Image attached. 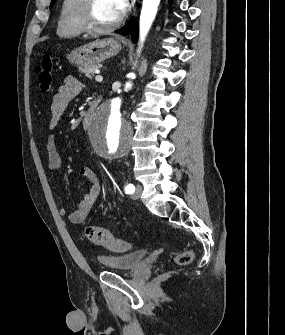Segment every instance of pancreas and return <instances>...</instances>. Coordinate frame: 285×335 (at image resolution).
<instances>
[{"label":"pancreas","mask_w":285,"mask_h":335,"mask_svg":"<svg viewBox=\"0 0 285 335\" xmlns=\"http://www.w3.org/2000/svg\"><path fill=\"white\" fill-rule=\"evenodd\" d=\"M99 68V64H95V66H81L80 72H82V74H85L87 78L93 79L92 72H94V70H99Z\"/></svg>","instance_id":"obj_1"}]
</instances>
